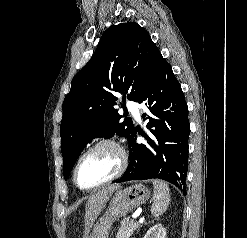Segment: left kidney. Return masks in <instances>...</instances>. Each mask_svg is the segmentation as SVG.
I'll return each mask as SVG.
<instances>
[{"label": "left kidney", "instance_id": "obj_1", "mask_svg": "<svg viewBox=\"0 0 247 238\" xmlns=\"http://www.w3.org/2000/svg\"><path fill=\"white\" fill-rule=\"evenodd\" d=\"M143 238H166V230L161 224L154 225Z\"/></svg>", "mask_w": 247, "mask_h": 238}]
</instances>
